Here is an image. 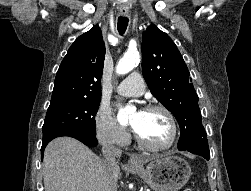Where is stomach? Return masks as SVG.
Instances as JSON below:
<instances>
[{
    "label": "stomach",
    "mask_w": 251,
    "mask_h": 191,
    "mask_svg": "<svg viewBox=\"0 0 251 191\" xmlns=\"http://www.w3.org/2000/svg\"><path fill=\"white\" fill-rule=\"evenodd\" d=\"M145 169L146 159H142L140 167H130L131 171L138 173L146 183L155 191H178L191 175V167L183 157L172 153H159L151 157Z\"/></svg>",
    "instance_id": "stomach-1"
}]
</instances>
